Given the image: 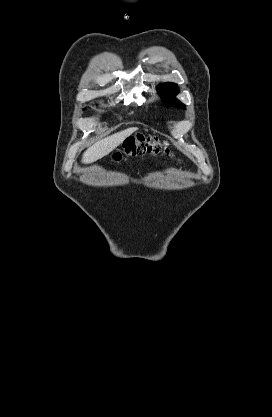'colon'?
Masks as SVG:
<instances>
[{
    "label": "colon",
    "mask_w": 272,
    "mask_h": 417,
    "mask_svg": "<svg viewBox=\"0 0 272 417\" xmlns=\"http://www.w3.org/2000/svg\"><path fill=\"white\" fill-rule=\"evenodd\" d=\"M123 151L127 156H141L149 153L157 154L164 153L171 155L168 147L155 138H148L141 135L131 137L123 145ZM120 153L114 155V158L119 159Z\"/></svg>",
    "instance_id": "colon-1"
}]
</instances>
